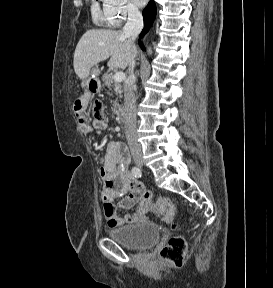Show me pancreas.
<instances>
[{
  "mask_svg": "<svg viewBox=\"0 0 273 288\" xmlns=\"http://www.w3.org/2000/svg\"><path fill=\"white\" fill-rule=\"evenodd\" d=\"M103 86H105L109 90V95L116 96V99L113 101L114 111L116 112L117 107L119 106L118 98L122 97V86L119 82L114 80L112 73H105L102 77ZM114 91V92H113Z\"/></svg>",
  "mask_w": 273,
  "mask_h": 288,
  "instance_id": "cf45deb5",
  "label": "pancreas"
}]
</instances>
